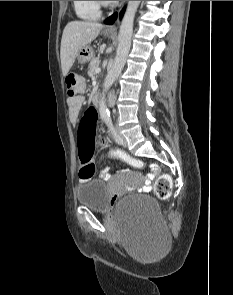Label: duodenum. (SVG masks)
<instances>
[{"label":"duodenum","instance_id":"1","mask_svg":"<svg viewBox=\"0 0 233 295\" xmlns=\"http://www.w3.org/2000/svg\"><path fill=\"white\" fill-rule=\"evenodd\" d=\"M99 102H100V94H95L93 97V105L98 106Z\"/></svg>","mask_w":233,"mask_h":295}]
</instances>
